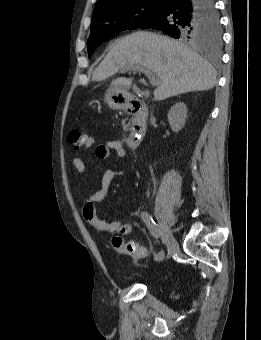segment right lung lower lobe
I'll return each instance as SVG.
<instances>
[{
	"instance_id": "obj_1",
	"label": "right lung lower lobe",
	"mask_w": 261,
	"mask_h": 340,
	"mask_svg": "<svg viewBox=\"0 0 261 340\" xmlns=\"http://www.w3.org/2000/svg\"><path fill=\"white\" fill-rule=\"evenodd\" d=\"M215 12L214 0H163L158 13L141 28L161 30L178 38L180 28L190 16L195 13L207 16Z\"/></svg>"
}]
</instances>
